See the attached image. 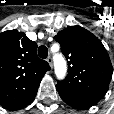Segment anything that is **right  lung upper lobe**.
<instances>
[{"mask_svg":"<svg viewBox=\"0 0 114 114\" xmlns=\"http://www.w3.org/2000/svg\"><path fill=\"white\" fill-rule=\"evenodd\" d=\"M37 44L13 29L0 33V105L10 108L37 93L49 64L38 58Z\"/></svg>","mask_w":114,"mask_h":114,"instance_id":"obj_1","label":"right lung upper lobe"}]
</instances>
